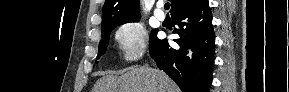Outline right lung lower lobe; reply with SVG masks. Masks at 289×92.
Here are the masks:
<instances>
[{"label":"right lung lower lobe","mask_w":289,"mask_h":92,"mask_svg":"<svg viewBox=\"0 0 289 92\" xmlns=\"http://www.w3.org/2000/svg\"><path fill=\"white\" fill-rule=\"evenodd\" d=\"M178 48L157 37L150 44V55L183 92H209L215 58V35L208 0L172 14Z\"/></svg>","instance_id":"obj_1"}]
</instances>
